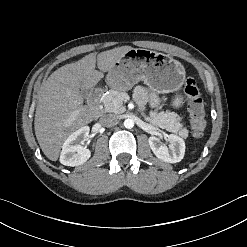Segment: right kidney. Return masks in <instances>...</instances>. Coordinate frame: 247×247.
<instances>
[{"label": "right kidney", "mask_w": 247, "mask_h": 247, "mask_svg": "<svg viewBox=\"0 0 247 247\" xmlns=\"http://www.w3.org/2000/svg\"><path fill=\"white\" fill-rule=\"evenodd\" d=\"M88 126L81 127L73 132L64 142L60 154V162L65 166H79L91 156V151L82 146V142L89 135Z\"/></svg>", "instance_id": "1"}]
</instances>
